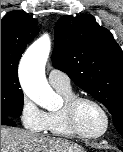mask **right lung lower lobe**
<instances>
[{"mask_svg": "<svg viewBox=\"0 0 123 152\" xmlns=\"http://www.w3.org/2000/svg\"><path fill=\"white\" fill-rule=\"evenodd\" d=\"M1 125L15 126V123L10 118H1Z\"/></svg>", "mask_w": 123, "mask_h": 152, "instance_id": "right-lung-lower-lobe-1", "label": "right lung lower lobe"}]
</instances>
